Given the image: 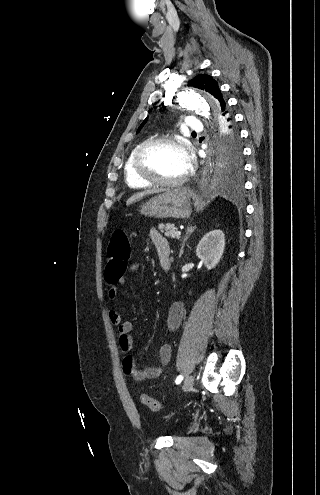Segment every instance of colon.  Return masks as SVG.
<instances>
[{"instance_id":"colon-1","label":"colon","mask_w":320,"mask_h":495,"mask_svg":"<svg viewBox=\"0 0 320 495\" xmlns=\"http://www.w3.org/2000/svg\"><path fill=\"white\" fill-rule=\"evenodd\" d=\"M107 264L105 278L110 283H116L121 279L130 260V243L124 230L118 229L112 234L107 248ZM141 403L153 412L161 409L158 400L146 395H140Z\"/></svg>"}]
</instances>
